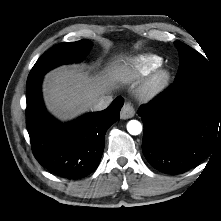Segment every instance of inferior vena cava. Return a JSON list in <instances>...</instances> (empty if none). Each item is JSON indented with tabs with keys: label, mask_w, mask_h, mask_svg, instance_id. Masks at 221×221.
I'll list each match as a JSON object with an SVG mask.
<instances>
[{
	"label": "inferior vena cava",
	"mask_w": 221,
	"mask_h": 221,
	"mask_svg": "<svg viewBox=\"0 0 221 221\" xmlns=\"http://www.w3.org/2000/svg\"><path fill=\"white\" fill-rule=\"evenodd\" d=\"M113 101L112 96L106 95L99 97L93 104L94 111H102L106 109Z\"/></svg>",
	"instance_id": "obj_1"
}]
</instances>
